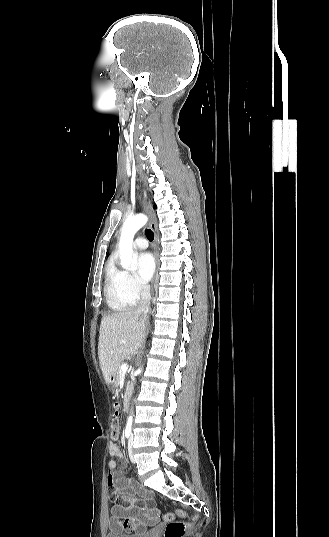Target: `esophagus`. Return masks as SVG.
Listing matches in <instances>:
<instances>
[{
  "instance_id": "34e87169",
  "label": "esophagus",
  "mask_w": 329,
  "mask_h": 537,
  "mask_svg": "<svg viewBox=\"0 0 329 537\" xmlns=\"http://www.w3.org/2000/svg\"><path fill=\"white\" fill-rule=\"evenodd\" d=\"M144 204H145L146 212H147V214H148V216L150 218V222H149L150 228L154 233V256H155V262H156V269H155V273H154V276H153V279H152V292H153V288H154V285L156 283L157 275H158V264H159V261H158V241H159V236H158V231H157V223H156L155 212H154V210L152 208V205H151L150 202H144Z\"/></svg>"
}]
</instances>
